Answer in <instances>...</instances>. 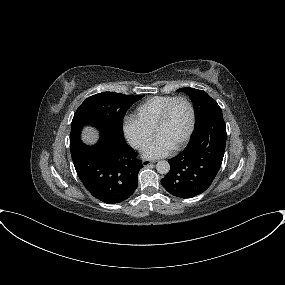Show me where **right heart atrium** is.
Listing matches in <instances>:
<instances>
[{"mask_svg":"<svg viewBox=\"0 0 285 285\" xmlns=\"http://www.w3.org/2000/svg\"><path fill=\"white\" fill-rule=\"evenodd\" d=\"M122 129L127 141L137 150H143L153 135V130L142 124L134 115L124 118Z\"/></svg>","mask_w":285,"mask_h":285,"instance_id":"1","label":"right heart atrium"}]
</instances>
